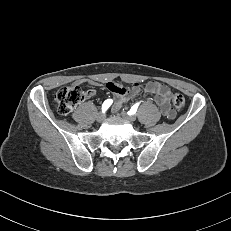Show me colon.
Masks as SVG:
<instances>
[{"instance_id": "colon-1", "label": "colon", "mask_w": 231, "mask_h": 231, "mask_svg": "<svg viewBox=\"0 0 231 231\" xmlns=\"http://www.w3.org/2000/svg\"><path fill=\"white\" fill-rule=\"evenodd\" d=\"M87 93L79 85H71L56 91L54 99L61 114H69L85 98ZM173 104L177 109L185 106V98L182 94L173 95Z\"/></svg>"}]
</instances>
